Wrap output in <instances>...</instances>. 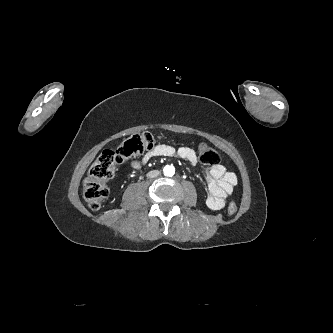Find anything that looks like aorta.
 Returning <instances> with one entry per match:
<instances>
[{"label":"aorta","mask_w":333,"mask_h":333,"mask_svg":"<svg viewBox=\"0 0 333 333\" xmlns=\"http://www.w3.org/2000/svg\"><path fill=\"white\" fill-rule=\"evenodd\" d=\"M165 176H173L175 174V168L173 165H166L163 169Z\"/></svg>","instance_id":"aorta-1"}]
</instances>
